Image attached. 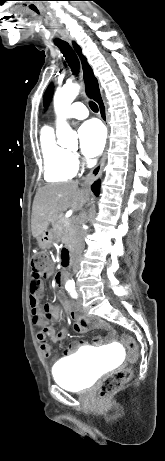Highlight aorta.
<instances>
[{
	"label": "aorta",
	"instance_id": "1",
	"mask_svg": "<svg viewBox=\"0 0 165 461\" xmlns=\"http://www.w3.org/2000/svg\"><path fill=\"white\" fill-rule=\"evenodd\" d=\"M80 91L78 84H66L58 89L54 95V109L59 118L56 126L58 144L65 148L77 147V134L61 119L63 112L71 105Z\"/></svg>",
	"mask_w": 165,
	"mask_h": 461
}]
</instances>
